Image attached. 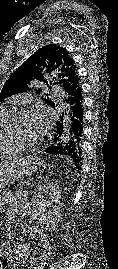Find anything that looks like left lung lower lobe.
I'll return each mask as SVG.
<instances>
[{
  "label": "left lung lower lobe",
  "instance_id": "left-lung-lower-lobe-1",
  "mask_svg": "<svg viewBox=\"0 0 118 269\" xmlns=\"http://www.w3.org/2000/svg\"><path fill=\"white\" fill-rule=\"evenodd\" d=\"M64 102L67 103V109L64 110L57 122L58 137L54 140L56 143L49 146L45 151L49 154L69 157L79 169L82 154L84 113L81 87L79 86L68 92Z\"/></svg>",
  "mask_w": 118,
  "mask_h": 269
}]
</instances>
